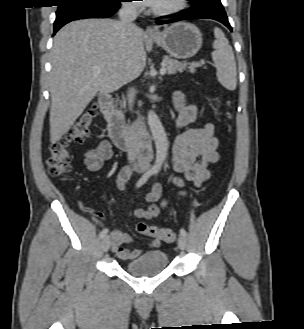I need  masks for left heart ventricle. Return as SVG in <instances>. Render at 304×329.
I'll use <instances>...</instances> for the list:
<instances>
[{"instance_id":"b2bd125f","label":"left heart ventricle","mask_w":304,"mask_h":329,"mask_svg":"<svg viewBox=\"0 0 304 329\" xmlns=\"http://www.w3.org/2000/svg\"><path fill=\"white\" fill-rule=\"evenodd\" d=\"M177 0H157L153 8H165L173 5Z\"/></svg>"}]
</instances>
